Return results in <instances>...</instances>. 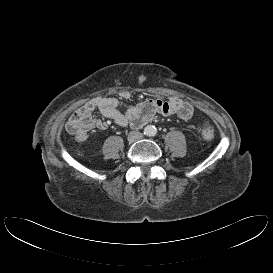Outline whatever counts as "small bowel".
<instances>
[{
    "mask_svg": "<svg viewBox=\"0 0 273 273\" xmlns=\"http://www.w3.org/2000/svg\"><path fill=\"white\" fill-rule=\"evenodd\" d=\"M124 98L128 99L129 94L125 93ZM96 109L117 125L132 128L142 127L150 122L156 114L166 116L176 114L181 119L188 120L194 112L193 106L180 98H171L167 101L149 99L124 108L117 98L97 97L75 110L69 118L67 130L74 135L77 141H85L89 131L93 129L105 130L108 127L106 122L93 116Z\"/></svg>",
    "mask_w": 273,
    "mask_h": 273,
    "instance_id": "c3829d8e",
    "label": "small bowel"
}]
</instances>
